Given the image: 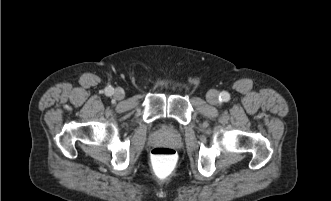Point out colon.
I'll list each match as a JSON object with an SVG mask.
<instances>
[{"label":"colon","mask_w":331,"mask_h":201,"mask_svg":"<svg viewBox=\"0 0 331 201\" xmlns=\"http://www.w3.org/2000/svg\"><path fill=\"white\" fill-rule=\"evenodd\" d=\"M150 163L155 175L160 179H166L177 169L178 153L171 147H155L151 151Z\"/></svg>","instance_id":"1"}]
</instances>
